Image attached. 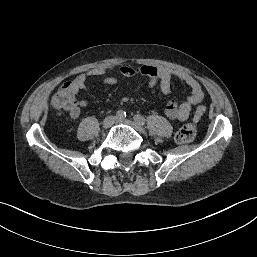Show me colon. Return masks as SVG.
Instances as JSON below:
<instances>
[{
  "label": "colon",
  "mask_w": 257,
  "mask_h": 257,
  "mask_svg": "<svg viewBox=\"0 0 257 257\" xmlns=\"http://www.w3.org/2000/svg\"><path fill=\"white\" fill-rule=\"evenodd\" d=\"M70 83H64L53 97V104L58 109L75 111L77 100L70 89ZM197 134L196 125L192 122L184 124L176 133L175 139L178 143H190Z\"/></svg>",
  "instance_id": "obj_1"
}]
</instances>
